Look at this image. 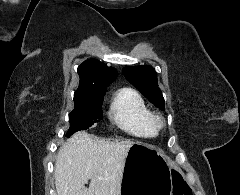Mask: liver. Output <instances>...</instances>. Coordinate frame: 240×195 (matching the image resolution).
<instances>
[{
	"label": "liver",
	"instance_id": "6515ba94",
	"mask_svg": "<svg viewBox=\"0 0 240 195\" xmlns=\"http://www.w3.org/2000/svg\"><path fill=\"white\" fill-rule=\"evenodd\" d=\"M135 141H106L86 131L66 139L57 153V195H119L127 151ZM91 179L89 187H85Z\"/></svg>",
	"mask_w": 240,
	"mask_h": 195
}]
</instances>
